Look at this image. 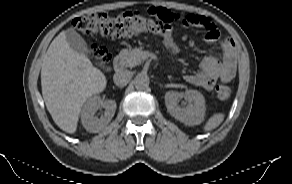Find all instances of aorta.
<instances>
[{
  "instance_id": "obj_1",
  "label": "aorta",
  "mask_w": 292,
  "mask_h": 184,
  "mask_svg": "<svg viewBox=\"0 0 292 184\" xmlns=\"http://www.w3.org/2000/svg\"><path fill=\"white\" fill-rule=\"evenodd\" d=\"M149 77L144 73H139L133 80L136 89L144 90L149 86Z\"/></svg>"
}]
</instances>
